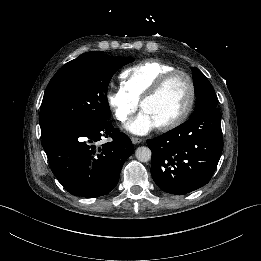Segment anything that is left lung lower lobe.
Wrapping results in <instances>:
<instances>
[{
  "label": "left lung lower lobe",
  "instance_id": "obj_1",
  "mask_svg": "<svg viewBox=\"0 0 261 261\" xmlns=\"http://www.w3.org/2000/svg\"><path fill=\"white\" fill-rule=\"evenodd\" d=\"M147 144L153 151L151 175L161 190L176 195L195 191L211 180L222 153L220 111L204 109Z\"/></svg>",
  "mask_w": 261,
  "mask_h": 261
}]
</instances>
